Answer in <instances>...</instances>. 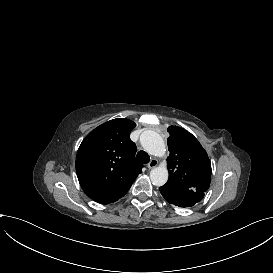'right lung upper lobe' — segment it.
Masks as SVG:
<instances>
[{
	"label": "right lung upper lobe",
	"mask_w": 273,
	"mask_h": 273,
	"mask_svg": "<svg viewBox=\"0 0 273 273\" xmlns=\"http://www.w3.org/2000/svg\"><path fill=\"white\" fill-rule=\"evenodd\" d=\"M136 124L128 119L110 120L92 130L76 156V173L87 196L101 204L117 201L142 172L135 159L130 132Z\"/></svg>",
	"instance_id": "cb5924a9"
}]
</instances>
